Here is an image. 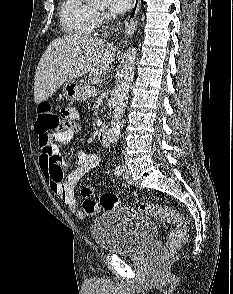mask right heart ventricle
I'll return each instance as SVG.
<instances>
[{"label": "right heart ventricle", "instance_id": "1", "mask_svg": "<svg viewBox=\"0 0 233 294\" xmlns=\"http://www.w3.org/2000/svg\"><path fill=\"white\" fill-rule=\"evenodd\" d=\"M59 20L63 31L73 37H86L98 24L97 12L84 0H61Z\"/></svg>", "mask_w": 233, "mask_h": 294}]
</instances>
